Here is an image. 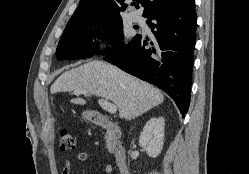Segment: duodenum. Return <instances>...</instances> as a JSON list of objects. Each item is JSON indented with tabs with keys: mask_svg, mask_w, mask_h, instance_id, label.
I'll use <instances>...</instances> for the list:
<instances>
[{
	"mask_svg": "<svg viewBox=\"0 0 249 174\" xmlns=\"http://www.w3.org/2000/svg\"><path fill=\"white\" fill-rule=\"evenodd\" d=\"M91 120L96 126L104 128L108 132V141L113 150L118 173L130 174L126 151L122 143V131L119 125L98 112L92 114Z\"/></svg>",
	"mask_w": 249,
	"mask_h": 174,
	"instance_id": "obj_1",
	"label": "duodenum"
}]
</instances>
